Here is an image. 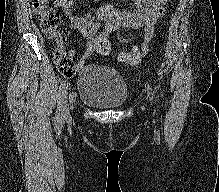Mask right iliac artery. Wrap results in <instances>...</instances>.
<instances>
[{
	"instance_id": "obj_1",
	"label": "right iliac artery",
	"mask_w": 219,
	"mask_h": 192,
	"mask_svg": "<svg viewBox=\"0 0 219 192\" xmlns=\"http://www.w3.org/2000/svg\"><path fill=\"white\" fill-rule=\"evenodd\" d=\"M69 86L68 81H63L59 87V97H58V107H57V119H62V107L64 104L65 94H66V88Z\"/></svg>"
}]
</instances>
